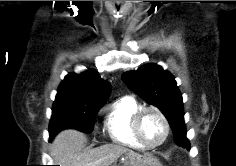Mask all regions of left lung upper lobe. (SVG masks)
Masks as SVG:
<instances>
[{"instance_id": "left-lung-upper-lobe-1", "label": "left lung upper lobe", "mask_w": 236, "mask_h": 166, "mask_svg": "<svg viewBox=\"0 0 236 166\" xmlns=\"http://www.w3.org/2000/svg\"><path fill=\"white\" fill-rule=\"evenodd\" d=\"M127 86L147 103L158 107L169 124L184 123L182 95L175 78L156 64H146L122 75Z\"/></svg>"}]
</instances>
